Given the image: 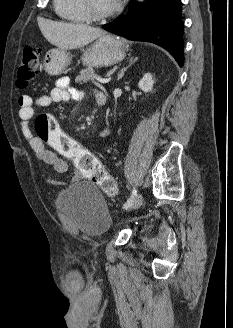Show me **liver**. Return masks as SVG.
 <instances>
[{
  "label": "liver",
  "mask_w": 233,
  "mask_h": 328,
  "mask_svg": "<svg viewBox=\"0 0 233 328\" xmlns=\"http://www.w3.org/2000/svg\"><path fill=\"white\" fill-rule=\"evenodd\" d=\"M38 25L43 36L58 49H77L104 34L99 28L86 24H72L39 19Z\"/></svg>",
  "instance_id": "1"
}]
</instances>
